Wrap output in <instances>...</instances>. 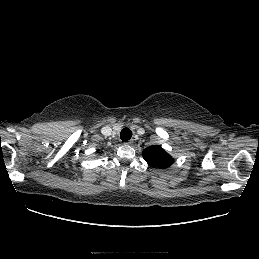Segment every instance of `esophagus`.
Segmentation results:
<instances>
[{"label": "esophagus", "instance_id": "obj_1", "mask_svg": "<svg viewBox=\"0 0 259 259\" xmlns=\"http://www.w3.org/2000/svg\"><path fill=\"white\" fill-rule=\"evenodd\" d=\"M126 144H128V145H132L133 144V140L131 139V140H129Z\"/></svg>", "mask_w": 259, "mask_h": 259}]
</instances>
